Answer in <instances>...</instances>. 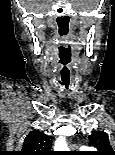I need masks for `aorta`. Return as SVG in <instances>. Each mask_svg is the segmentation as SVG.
Here are the masks:
<instances>
[{"mask_svg":"<svg viewBox=\"0 0 115 155\" xmlns=\"http://www.w3.org/2000/svg\"><path fill=\"white\" fill-rule=\"evenodd\" d=\"M54 149L57 151H66L68 149L67 144L63 138H59L55 142Z\"/></svg>","mask_w":115,"mask_h":155,"instance_id":"1","label":"aorta"}]
</instances>
